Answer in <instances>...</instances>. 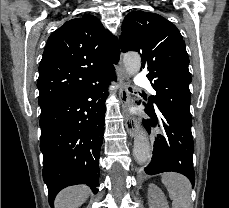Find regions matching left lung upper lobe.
I'll list each match as a JSON object with an SVG mask.
<instances>
[{
	"mask_svg": "<svg viewBox=\"0 0 229 208\" xmlns=\"http://www.w3.org/2000/svg\"><path fill=\"white\" fill-rule=\"evenodd\" d=\"M122 52L136 51L141 55L142 68H147L156 95L148 106L190 114L191 75L189 58L178 28L164 17L144 11L130 12L122 24Z\"/></svg>",
	"mask_w": 229,
	"mask_h": 208,
	"instance_id": "5c2ea615",
	"label": "left lung upper lobe"
}]
</instances>
